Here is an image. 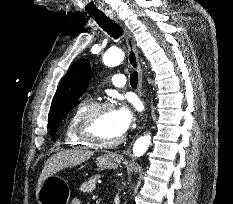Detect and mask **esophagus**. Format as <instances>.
I'll use <instances>...</instances> for the list:
<instances>
[{
    "label": "esophagus",
    "mask_w": 233,
    "mask_h": 204,
    "mask_svg": "<svg viewBox=\"0 0 233 204\" xmlns=\"http://www.w3.org/2000/svg\"><path fill=\"white\" fill-rule=\"evenodd\" d=\"M106 15L120 25L124 31L125 40L128 46V62L129 65L138 73L139 89L142 92V68L138 59V49L136 46L135 38L129 29L123 24L115 12L111 10L105 11Z\"/></svg>",
    "instance_id": "esophagus-1"
}]
</instances>
